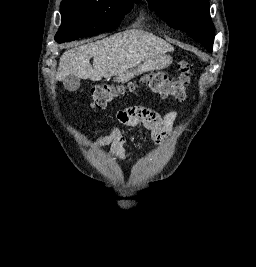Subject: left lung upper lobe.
Masks as SVG:
<instances>
[{
    "label": "left lung upper lobe",
    "mask_w": 256,
    "mask_h": 267,
    "mask_svg": "<svg viewBox=\"0 0 256 267\" xmlns=\"http://www.w3.org/2000/svg\"><path fill=\"white\" fill-rule=\"evenodd\" d=\"M151 10L171 27L185 31L212 52L214 27L209 0H147Z\"/></svg>",
    "instance_id": "left-lung-upper-lobe-1"
}]
</instances>
